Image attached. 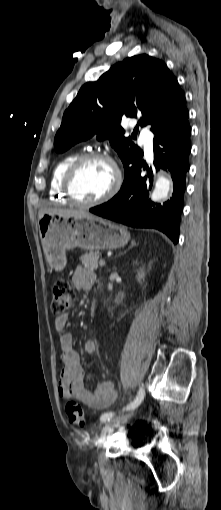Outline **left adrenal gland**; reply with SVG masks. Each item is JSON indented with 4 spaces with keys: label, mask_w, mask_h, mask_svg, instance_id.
<instances>
[{
    "label": "left adrenal gland",
    "mask_w": 221,
    "mask_h": 510,
    "mask_svg": "<svg viewBox=\"0 0 221 510\" xmlns=\"http://www.w3.org/2000/svg\"><path fill=\"white\" fill-rule=\"evenodd\" d=\"M136 242L135 241H131V245L129 246V248L127 250H125L122 254H125L129 249H131L132 247L136 246Z\"/></svg>",
    "instance_id": "left-adrenal-gland-1"
}]
</instances>
